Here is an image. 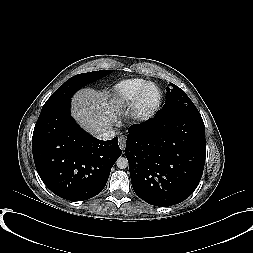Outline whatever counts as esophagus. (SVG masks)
<instances>
[{
	"instance_id": "34e87169",
	"label": "esophagus",
	"mask_w": 253,
	"mask_h": 253,
	"mask_svg": "<svg viewBox=\"0 0 253 253\" xmlns=\"http://www.w3.org/2000/svg\"><path fill=\"white\" fill-rule=\"evenodd\" d=\"M118 144H119V147L121 148V150H124L125 146H126V137L123 135L120 136L119 140H118Z\"/></svg>"
}]
</instances>
